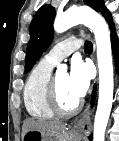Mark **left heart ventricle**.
<instances>
[{"label":"left heart ventricle","mask_w":119,"mask_h":141,"mask_svg":"<svg viewBox=\"0 0 119 141\" xmlns=\"http://www.w3.org/2000/svg\"><path fill=\"white\" fill-rule=\"evenodd\" d=\"M58 98L64 108H72L79 101L68 87V75L65 72L56 75Z\"/></svg>","instance_id":"obj_1"}]
</instances>
